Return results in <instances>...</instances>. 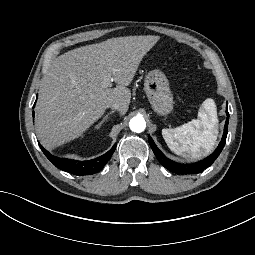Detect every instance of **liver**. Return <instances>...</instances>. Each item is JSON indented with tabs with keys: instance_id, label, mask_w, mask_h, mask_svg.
I'll return each instance as SVG.
<instances>
[{
	"instance_id": "6515ba94",
	"label": "liver",
	"mask_w": 255,
	"mask_h": 255,
	"mask_svg": "<svg viewBox=\"0 0 255 255\" xmlns=\"http://www.w3.org/2000/svg\"><path fill=\"white\" fill-rule=\"evenodd\" d=\"M159 36H130L80 47L54 59L44 71L36 106L37 136L60 148L81 138L114 102L124 116L130 86L143 58ZM114 73L116 88H105Z\"/></svg>"
}]
</instances>
